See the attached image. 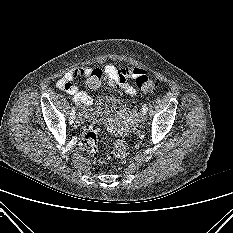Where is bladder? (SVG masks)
I'll list each match as a JSON object with an SVG mask.
<instances>
[{
  "instance_id": "31cf9c89",
  "label": "bladder",
  "mask_w": 233,
  "mask_h": 233,
  "mask_svg": "<svg viewBox=\"0 0 233 233\" xmlns=\"http://www.w3.org/2000/svg\"><path fill=\"white\" fill-rule=\"evenodd\" d=\"M125 108L126 104L120 98L101 95L95 101L92 115L94 119L98 121H105L109 119L114 113Z\"/></svg>"
}]
</instances>
